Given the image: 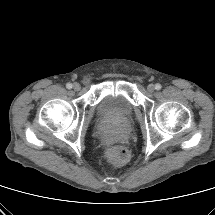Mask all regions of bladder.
Returning a JSON list of instances; mask_svg holds the SVG:
<instances>
[{"instance_id":"bladder-1","label":"bladder","mask_w":215,"mask_h":215,"mask_svg":"<svg viewBox=\"0 0 215 215\" xmlns=\"http://www.w3.org/2000/svg\"><path fill=\"white\" fill-rule=\"evenodd\" d=\"M133 112V105L123 95L106 94L100 98L96 105L99 117L114 121H123Z\"/></svg>"}]
</instances>
